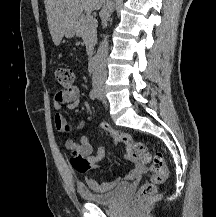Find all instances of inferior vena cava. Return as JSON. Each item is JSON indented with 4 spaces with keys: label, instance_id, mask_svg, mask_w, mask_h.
Instances as JSON below:
<instances>
[{
    "label": "inferior vena cava",
    "instance_id": "obj_1",
    "mask_svg": "<svg viewBox=\"0 0 216 217\" xmlns=\"http://www.w3.org/2000/svg\"><path fill=\"white\" fill-rule=\"evenodd\" d=\"M113 11V3L111 0H105V3L101 10V20L103 28L107 27V21ZM108 56V41L107 36H104V40L100 43L98 48L94 70L92 74V85L94 87L102 86L107 79L106 60Z\"/></svg>",
    "mask_w": 216,
    "mask_h": 217
}]
</instances>
